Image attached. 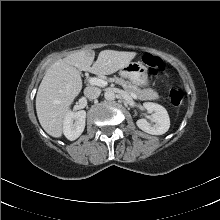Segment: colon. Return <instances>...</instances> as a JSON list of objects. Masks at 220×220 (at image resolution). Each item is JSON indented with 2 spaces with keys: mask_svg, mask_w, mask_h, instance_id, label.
Returning <instances> with one entry per match:
<instances>
[{
  "mask_svg": "<svg viewBox=\"0 0 220 220\" xmlns=\"http://www.w3.org/2000/svg\"><path fill=\"white\" fill-rule=\"evenodd\" d=\"M143 63L145 64V66L151 74H158L159 72L164 70L163 60L160 57L155 56L153 54H145L143 57ZM168 98L173 106H179L184 98V92L182 88H171L168 93Z\"/></svg>",
  "mask_w": 220,
  "mask_h": 220,
  "instance_id": "1",
  "label": "colon"
}]
</instances>
